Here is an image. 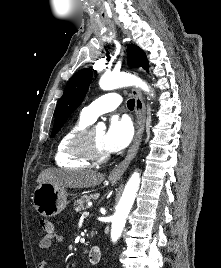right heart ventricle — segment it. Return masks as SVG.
<instances>
[{"mask_svg": "<svg viewBox=\"0 0 221 268\" xmlns=\"http://www.w3.org/2000/svg\"><path fill=\"white\" fill-rule=\"evenodd\" d=\"M91 123V121L80 115L77 121L61 135L55 148V162L58 166L78 169L87 168L91 165L90 162L77 157L73 152L75 138Z\"/></svg>", "mask_w": 221, "mask_h": 268, "instance_id": "right-heart-ventricle-1", "label": "right heart ventricle"}]
</instances>
